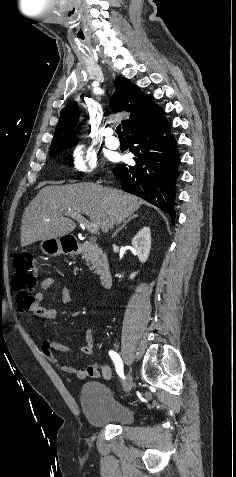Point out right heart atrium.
<instances>
[{
	"label": "right heart atrium",
	"mask_w": 236,
	"mask_h": 477,
	"mask_svg": "<svg viewBox=\"0 0 236 477\" xmlns=\"http://www.w3.org/2000/svg\"><path fill=\"white\" fill-rule=\"evenodd\" d=\"M72 168L81 173H92L97 168V158L95 154L84 148L77 146L72 154Z\"/></svg>",
	"instance_id": "d8ad5b80"
}]
</instances>
